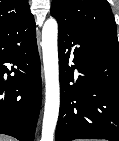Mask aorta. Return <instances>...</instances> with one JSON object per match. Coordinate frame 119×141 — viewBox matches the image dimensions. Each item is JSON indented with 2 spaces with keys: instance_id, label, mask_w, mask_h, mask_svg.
<instances>
[{
  "instance_id": "1",
  "label": "aorta",
  "mask_w": 119,
  "mask_h": 141,
  "mask_svg": "<svg viewBox=\"0 0 119 141\" xmlns=\"http://www.w3.org/2000/svg\"><path fill=\"white\" fill-rule=\"evenodd\" d=\"M58 24L48 19L42 29V50L46 84V101L41 141H53L59 114L60 88L57 48Z\"/></svg>"
}]
</instances>
